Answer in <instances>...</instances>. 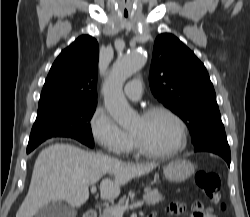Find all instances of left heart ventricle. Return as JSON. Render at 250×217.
<instances>
[{
  "mask_svg": "<svg viewBox=\"0 0 250 217\" xmlns=\"http://www.w3.org/2000/svg\"><path fill=\"white\" fill-rule=\"evenodd\" d=\"M148 148L165 152L172 150L179 142L180 132L175 121L164 113L149 117L139 116L130 128Z\"/></svg>",
  "mask_w": 250,
  "mask_h": 217,
  "instance_id": "obj_1",
  "label": "left heart ventricle"
}]
</instances>
